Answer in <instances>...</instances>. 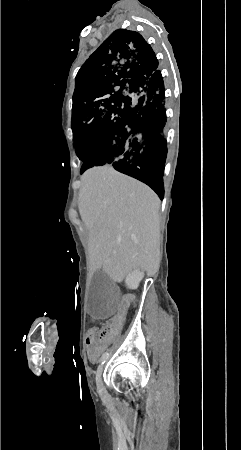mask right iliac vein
Segmentation results:
<instances>
[{
	"label": "right iliac vein",
	"instance_id": "obj_1",
	"mask_svg": "<svg viewBox=\"0 0 241 450\" xmlns=\"http://www.w3.org/2000/svg\"><path fill=\"white\" fill-rule=\"evenodd\" d=\"M96 386H97L98 392L101 395H105L106 394L105 386H104L103 381H102V369L101 368H99L97 373H96Z\"/></svg>",
	"mask_w": 241,
	"mask_h": 450
}]
</instances>
